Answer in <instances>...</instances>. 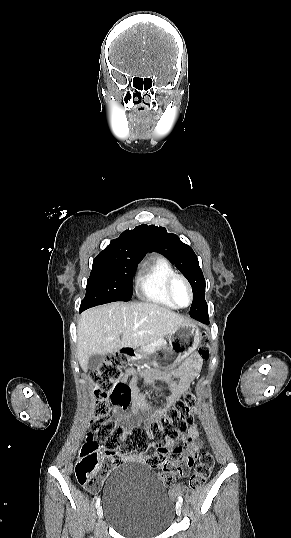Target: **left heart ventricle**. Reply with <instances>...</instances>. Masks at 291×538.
<instances>
[{"mask_svg": "<svg viewBox=\"0 0 291 538\" xmlns=\"http://www.w3.org/2000/svg\"><path fill=\"white\" fill-rule=\"evenodd\" d=\"M174 295L178 304L185 306L189 302V294L182 282H177L174 287Z\"/></svg>", "mask_w": 291, "mask_h": 538, "instance_id": "left-heart-ventricle-1", "label": "left heart ventricle"}]
</instances>
